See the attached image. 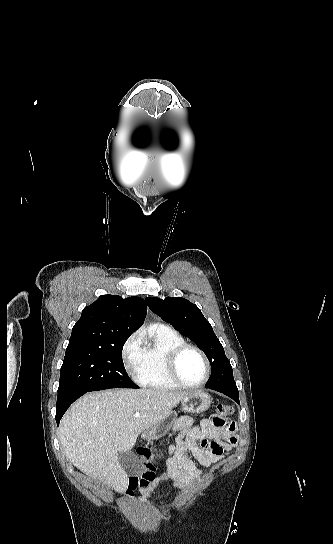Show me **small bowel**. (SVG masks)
I'll list each match as a JSON object with an SVG mask.
<instances>
[{
  "label": "small bowel",
  "instance_id": "obj_1",
  "mask_svg": "<svg viewBox=\"0 0 333 544\" xmlns=\"http://www.w3.org/2000/svg\"><path fill=\"white\" fill-rule=\"evenodd\" d=\"M174 429L178 434L169 447L167 472L142 490L140 502H144L161 481L170 480L184 488L200 478L203 471L196 467L189 453L201 465L211 467L237 443L235 424L220 415L202 419L200 427L193 426V419L184 416L175 423Z\"/></svg>",
  "mask_w": 333,
  "mask_h": 544
}]
</instances>
